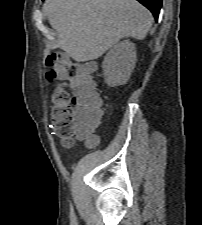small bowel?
<instances>
[{
  "label": "small bowel",
  "mask_w": 202,
  "mask_h": 225,
  "mask_svg": "<svg viewBox=\"0 0 202 225\" xmlns=\"http://www.w3.org/2000/svg\"><path fill=\"white\" fill-rule=\"evenodd\" d=\"M83 66L86 70H91L94 68L95 64L92 61L83 62ZM78 112L82 117L84 125L89 126L90 128H94V122L91 118L84 116L90 108L88 106V101L85 99H78L77 100Z\"/></svg>",
  "instance_id": "1"
}]
</instances>
